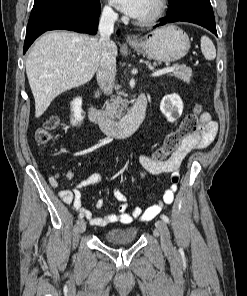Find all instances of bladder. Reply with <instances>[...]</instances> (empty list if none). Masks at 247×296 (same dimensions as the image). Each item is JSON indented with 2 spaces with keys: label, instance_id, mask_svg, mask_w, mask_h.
Masks as SVG:
<instances>
[{
  "label": "bladder",
  "instance_id": "1",
  "mask_svg": "<svg viewBox=\"0 0 247 296\" xmlns=\"http://www.w3.org/2000/svg\"><path fill=\"white\" fill-rule=\"evenodd\" d=\"M138 233L136 226H126L122 228L110 229L105 233V241L111 244H121L133 242Z\"/></svg>",
  "mask_w": 247,
  "mask_h": 296
}]
</instances>
